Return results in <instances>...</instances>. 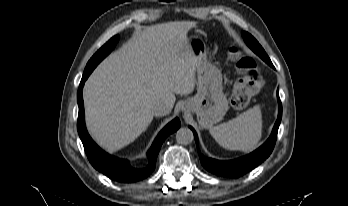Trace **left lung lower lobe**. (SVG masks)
<instances>
[{
  "label": "left lung lower lobe",
  "instance_id": "0a47b994",
  "mask_svg": "<svg viewBox=\"0 0 348 206\" xmlns=\"http://www.w3.org/2000/svg\"><path fill=\"white\" fill-rule=\"evenodd\" d=\"M279 99V95H278ZM282 117V105L279 99V114L278 119L274 125L273 131L269 139L257 150L239 159L230 161H218L211 158H206L199 152V157L203 167L216 175L226 176V177H240L245 173L251 171L259 164H261L272 152L276 138L278 128ZM194 133V138L198 144V137L195 130L190 127Z\"/></svg>",
  "mask_w": 348,
  "mask_h": 206
}]
</instances>
